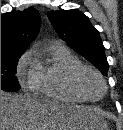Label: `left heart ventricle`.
<instances>
[{
    "label": "left heart ventricle",
    "instance_id": "left-heart-ventricle-1",
    "mask_svg": "<svg viewBox=\"0 0 123 130\" xmlns=\"http://www.w3.org/2000/svg\"><path fill=\"white\" fill-rule=\"evenodd\" d=\"M85 85L91 96L96 97L99 95L101 91V85L94 76H88L86 78Z\"/></svg>",
    "mask_w": 123,
    "mask_h": 130
}]
</instances>
